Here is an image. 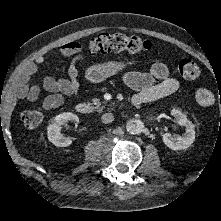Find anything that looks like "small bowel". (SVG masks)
Wrapping results in <instances>:
<instances>
[{
    "instance_id": "obj_1",
    "label": "small bowel",
    "mask_w": 221,
    "mask_h": 221,
    "mask_svg": "<svg viewBox=\"0 0 221 221\" xmlns=\"http://www.w3.org/2000/svg\"><path fill=\"white\" fill-rule=\"evenodd\" d=\"M62 56L72 57L66 78L46 77L41 87L51 94L43 100L45 109H55L60 107L64 98L63 95L76 96L79 89V69L78 62L82 59L81 46L77 42H69L58 49ZM45 56H37L33 61L27 63L20 71L18 82L20 95L31 102L38 99L41 87L31 85L29 81L37 72L38 65L45 61ZM125 83L136 90L137 96L142 103L153 102L165 98L175 93L179 87V81L170 76L167 66L162 62L154 63L149 72H128L123 77Z\"/></svg>"
}]
</instances>
